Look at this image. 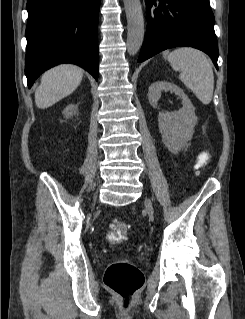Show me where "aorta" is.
Returning <instances> with one entry per match:
<instances>
[{
  "label": "aorta",
  "instance_id": "aorta-1",
  "mask_svg": "<svg viewBox=\"0 0 245 319\" xmlns=\"http://www.w3.org/2000/svg\"><path fill=\"white\" fill-rule=\"evenodd\" d=\"M127 18V51L136 55L144 40V18L140 0H123Z\"/></svg>",
  "mask_w": 245,
  "mask_h": 319
}]
</instances>
